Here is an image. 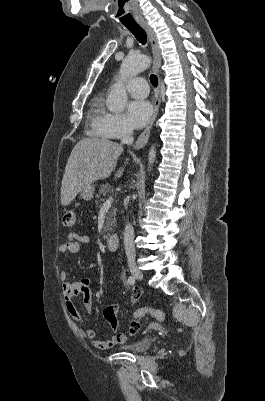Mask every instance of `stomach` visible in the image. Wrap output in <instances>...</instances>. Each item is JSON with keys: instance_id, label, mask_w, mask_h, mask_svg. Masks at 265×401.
<instances>
[{"instance_id": "obj_1", "label": "stomach", "mask_w": 265, "mask_h": 401, "mask_svg": "<svg viewBox=\"0 0 265 401\" xmlns=\"http://www.w3.org/2000/svg\"><path fill=\"white\" fill-rule=\"evenodd\" d=\"M94 190L95 188L93 184H88V186H85V188H81V198H84V201H91V198H93Z\"/></svg>"}]
</instances>
